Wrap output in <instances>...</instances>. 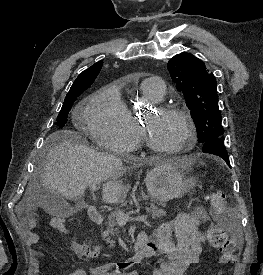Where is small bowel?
Segmentation results:
<instances>
[{"instance_id":"c3829d8e","label":"small bowel","mask_w":263,"mask_h":275,"mask_svg":"<svg viewBox=\"0 0 263 275\" xmlns=\"http://www.w3.org/2000/svg\"><path fill=\"white\" fill-rule=\"evenodd\" d=\"M61 219H53L55 221ZM210 221L207 211L198 207L189 212H180L169 222L161 224L155 232V240H149L151 256L164 257L166 260L157 266L152 275H184L186 270L199 261L203 250V236L201 226ZM28 228H34L33 220L25 221ZM57 230V229H56ZM175 238V242L172 240ZM33 243L38 242L36 233L30 234ZM71 249L79 256L96 258L101 253V246H89L82 242L72 241ZM69 275H138L136 271L121 270L111 264L91 266L88 270L77 269Z\"/></svg>"}]
</instances>
